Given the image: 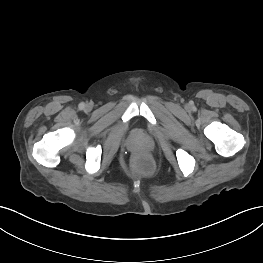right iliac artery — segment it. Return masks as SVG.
<instances>
[{"label": "right iliac artery", "mask_w": 263, "mask_h": 263, "mask_svg": "<svg viewBox=\"0 0 263 263\" xmlns=\"http://www.w3.org/2000/svg\"><path fill=\"white\" fill-rule=\"evenodd\" d=\"M84 107H85V104H84V103H80V104H79V108H80V109H83Z\"/></svg>", "instance_id": "82829eb1"}]
</instances>
